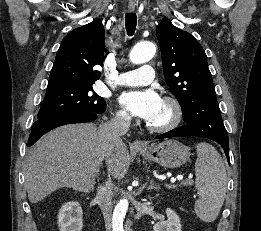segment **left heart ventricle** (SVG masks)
Listing matches in <instances>:
<instances>
[{"mask_svg":"<svg viewBox=\"0 0 261 231\" xmlns=\"http://www.w3.org/2000/svg\"><path fill=\"white\" fill-rule=\"evenodd\" d=\"M171 116L172 113L169 105L162 101L159 109L149 123L154 125H163L171 119Z\"/></svg>","mask_w":261,"mask_h":231,"instance_id":"obj_1","label":"left heart ventricle"}]
</instances>
